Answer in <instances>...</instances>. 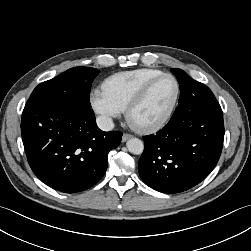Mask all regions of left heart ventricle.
Segmentation results:
<instances>
[{
    "instance_id": "left-heart-ventricle-1",
    "label": "left heart ventricle",
    "mask_w": 251,
    "mask_h": 251,
    "mask_svg": "<svg viewBox=\"0 0 251 251\" xmlns=\"http://www.w3.org/2000/svg\"><path fill=\"white\" fill-rule=\"evenodd\" d=\"M175 94V83L171 78L158 81L148 93L144 102L136 109L134 118L138 122H152L167 111Z\"/></svg>"
}]
</instances>
